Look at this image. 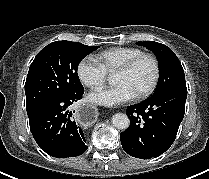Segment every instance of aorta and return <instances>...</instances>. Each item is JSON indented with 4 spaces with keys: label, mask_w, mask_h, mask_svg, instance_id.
<instances>
[{
    "label": "aorta",
    "mask_w": 209,
    "mask_h": 179,
    "mask_svg": "<svg viewBox=\"0 0 209 179\" xmlns=\"http://www.w3.org/2000/svg\"><path fill=\"white\" fill-rule=\"evenodd\" d=\"M113 125L120 130L127 129L130 125V120L126 114L116 113L112 117Z\"/></svg>",
    "instance_id": "1"
}]
</instances>
